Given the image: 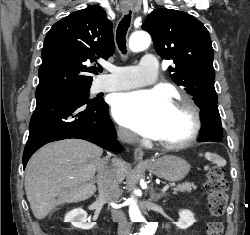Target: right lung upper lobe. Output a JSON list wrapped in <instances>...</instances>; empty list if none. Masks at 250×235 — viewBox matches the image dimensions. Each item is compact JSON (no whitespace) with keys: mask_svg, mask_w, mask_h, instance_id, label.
<instances>
[{"mask_svg":"<svg viewBox=\"0 0 250 235\" xmlns=\"http://www.w3.org/2000/svg\"><path fill=\"white\" fill-rule=\"evenodd\" d=\"M114 49L112 22L98 5L56 22L44 40L36 97L90 87L93 77L85 73L93 71L85 63L107 60Z\"/></svg>","mask_w":250,"mask_h":235,"instance_id":"cb5924a9","label":"right lung upper lobe"}]
</instances>
